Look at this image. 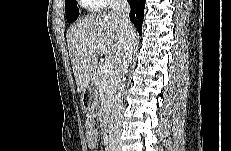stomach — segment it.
<instances>
[{
    "label": "stomach",
    "mask_w": 231,
    "mask_h": 151,
    "mask_svg": "<svg viewBox=\"0 0 231 151\" xmlns=\"http://www.w3.org/2000/svg\"><path fill=\"white\" fill-rule=\"evenodd\" d=\"M97 100V91L94 87H88L81 97V103L84 109H91L94 107Z\"/></svg>",
    "instance_id": "stomach-1"
}]
</instances>
